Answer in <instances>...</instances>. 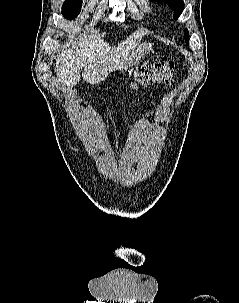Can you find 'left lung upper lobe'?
I'll return each mask as SVG.
<instances>
[{"label": "left lung upper lobe", "mask_w": 239, "mask_h": 303, "mask_svg": "<svg viewBox=\"0 0 239 303\" xmlns=\"http://www.w3.org/2000/svg\"><path fill=\"white\" fill-rule=\"evenodd\" d=\"M151 1H154V0H151ZM158 2L169 4V6L174 10V18H176V19L183 12V9H184L183 0H158ZM184 34H185V37H186L185 42L188 44V41H189V32H188L187 29H185Z\"/></svg>", "instance_id": "1"}]
</instances>
